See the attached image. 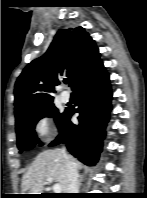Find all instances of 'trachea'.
Wrapping results in <instances>:
<instances>
[{
  "label": "trachea",
  "mask_w": 147,
  "mask_h": 198,
  "mask_svg": "<svg viewBox=\"0 0 147 198\" xmlns=\"http://www.w3.org/2000/svg\"><path fill=\"white\" fill-rule=\"evenodd\" d=\"M64 83H65V84H69V80H68V79H65V80H64Z\"/></svg>",
  "instance_id": "3493384b"
}]
</instances>
